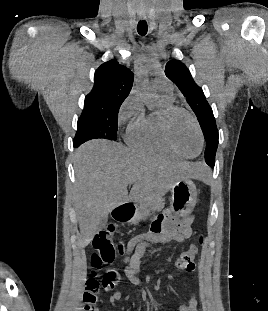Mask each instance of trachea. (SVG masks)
Returning <instances> with one entry per match:
<instances>
[{
    "mask_svg": "<svg viewBox=\"0 0 268 311\" xmlns=\"http://www.w3.org/2000/svg\"><path fill=\"white\" fill-rule=\"evenodd\" d=\"M137 31L141 36H145L148 31V25L146 20H140L137 25Z\"/></svg>",
    "mask_w": 268,
    "mask_h": 311,
    "instance_id": "1",
    "label": "trachea"
}]
</instances>
